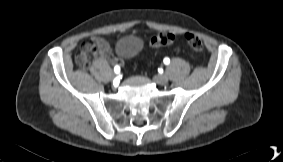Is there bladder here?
<instances>
[{
  "instance_id": "31cf9c89",
  "label": "bladder",
  "mask_w": 283,
  "mask_h": 162,
  "mask_svg": "<svg viewBox=\"0 0 283 162\" xmlns=\"http://www.w3.org/2000/svg\"><path fill=\"white\" fill-rule=\"evenodd\" d=\"M141 47V42L137 37L125 36L118 41L116 51L121 58L129 59L136 56Z\"/></svg>"
}]
</instances>
